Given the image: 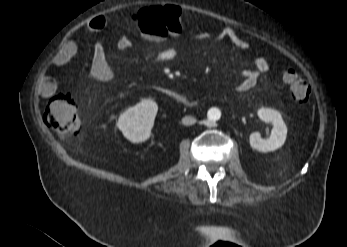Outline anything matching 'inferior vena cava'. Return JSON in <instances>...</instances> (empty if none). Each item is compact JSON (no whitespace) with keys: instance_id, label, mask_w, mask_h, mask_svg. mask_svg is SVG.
<instances>
[{"instance_id":"602c4592","label":"inferior vena cava","mask_w":347,"mask_h":247,"mask_svg":"<svg viewBox=\"0 0 347 247\" xmlns=\"http://www.w3.org/2000/svg\"><path fill=\"white\" fill-rule=\"evenodd\" d=\"M182 123L184 125H193L196 123V119L192 116H185L182 118Z\"/></svg>"}]
</instances>
